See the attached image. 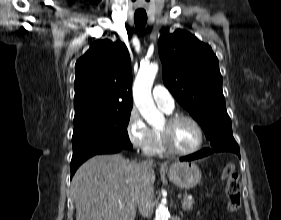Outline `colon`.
I'll return each instance as SVG.
<instances>
[{"label":"colon","instance_id":"5ec220e1","mask_svg":"<svg viewBox=\"0 0 281 220\" xmlns=\"http://www.w3.org/2000/svg\"><path fill=\"white\" fill-rule=\"evenodd\" d=\"M222 178L226 180L227 209L230 213H236L241 207V184L233 164L229 163L224 167Z\"/></svg>","mask_w":281,"mask_h":220}]
</instances>
